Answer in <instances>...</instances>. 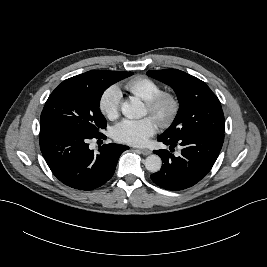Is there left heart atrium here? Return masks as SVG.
Returning a JSON list of instances; mask_svg holds the SVG:
<instances>
[{"instance_id": "1", "label": "left heart atrium", "mask_w": 267, "mask_h": 267, "mask_svg": "<svg viewBox=\"0 0 267 267\" xmlns=\"http://www.w3.org/2000/svg\"><path fill=\"white\" fill-rule=\"evenodd\" d=\"M156 131V121L151 117L125 119L113 127L112 137L121 143L143 146Z\"/></svg>"}]
</instances>
